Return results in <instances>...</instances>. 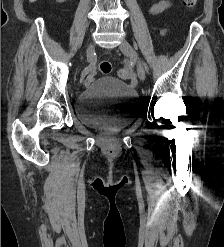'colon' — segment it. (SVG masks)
Masks as SVG:
<instances>
[{
  "instance_id": "obj_1",
  "label": "colon",
  "mask_w": 224,
  "mask_h": 247,
  "mask_svg": "<svg viewBox=\"0 0 224 247\" xmlns=\"http://www.w3.org/2000/svg\"><path fill=\"white\" fill-rule=\"evenodd\" d=\"M197 2L198 0H184L185 5L189 8L195 7ZM98 68L102 74H109L112 71V65L108 60H102L99 63ZM119 75L126 80H130L132 78L130 72L127 70H121Z\"/></svg>"
}]
</instances>
